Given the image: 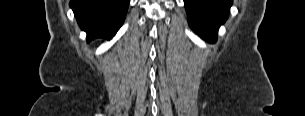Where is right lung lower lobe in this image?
I'll list each match as a JSON object with an SVG mask.
<instances>
[{
    "label": "right lung lower lobe",
    "instance_id": "obj_1",
    "mask_svg": "<svg viewBox=\"0 0 305 116\" xmlns=\"http://www.w3.org/2000/svg\"><path fill=\"white\" fill-rule=\"evenodd\" d=\"M87 41L111 39L122 26L129 0H71L69 3Z\"/></svg>",
    "mask_w": 305,
    "mask_h": 116
}]
</instances>
